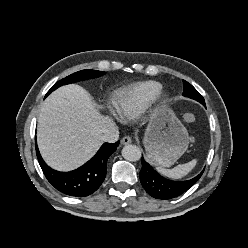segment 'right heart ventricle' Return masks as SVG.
Segmentation results:
<instances>
[{
  "label": "right heart ventricle",
  "instance_id": "e07e8e85",
  "mask_svg": "<svg viewBox=\"0 0 248 248\" xmlns=\"http://www.w3.org/2000/svg\"><path fill=\"white\" fill-rule=\"evenodd\" d=\"M162 86L157 81H141L128 85L116 92L112 108L122 121L137 118L159 95Z\"/></svg>",
  "mask_w": 248,
  "mask_h": 248
}]
</instances>
